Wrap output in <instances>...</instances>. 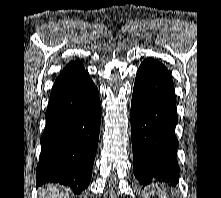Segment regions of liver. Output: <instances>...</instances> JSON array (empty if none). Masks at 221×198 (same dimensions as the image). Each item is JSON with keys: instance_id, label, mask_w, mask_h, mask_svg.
Instances as JSON below:
<instances>
[{"instance_id": "1", "label": "liver", "mask_w": 221, "mask_h": 198, "mask_svg": "<svg viewBox=\"0 0 221 198\" xmlns=\"http://www.w3.org/2000/svg\"><path fill=\"white\" fill-rule=\"evenodd\" d=\"M65 191V187L47 184L39 190V198H65Z\"/></svg>"}]
</instances>
